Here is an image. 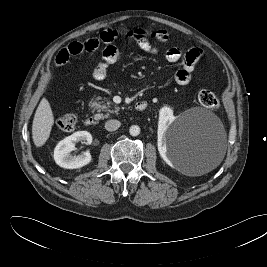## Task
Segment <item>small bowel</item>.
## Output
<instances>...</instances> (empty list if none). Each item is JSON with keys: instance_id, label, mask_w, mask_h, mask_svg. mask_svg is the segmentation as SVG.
Returning <instances> with one entry per match:
<instances>
[{"instance_id": "1", "label": "small bowel", "mask_w": 267, "mask_h": 267, "mask_svg": "<svg viewBox=\"0 0 267 267\" xmlns=\"http://www.w3.org/2000/svg\"><path fill=\"white\" fill-rule=\"evenodd\" d=\"M134 34L141 49L150 53L156 52V49L146 40L143 30H137ZM119 35L118 30L107 29L99 36L89 37L84 41L71 42L57 54L56 63L62 66L67 63L71 56L78 55L82 52H93L99 48L101 43H104L106 46L102 52V59L95 65L92 72L95 80L103 81L108 75L109 67L121 59L122 54L120 50L112 44ZM200 57L201 51L197 48L189 49L185 53L177 48H172L167 52L166 59L169 63L182 61V68L175 74V81L179 85L189 83L191 74Z\"/></svg>"}]
</instances>
